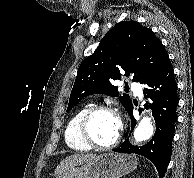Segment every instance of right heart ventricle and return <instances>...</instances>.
Wrapping results in <instances>:
<instances>
[{
  "mask_svg": "<svg viewBox=\"0 0 194 178\" xmlns=\"http://www.w3.org/2000/svg\"><path fill=\"white\" fill-rule=\"evenodd\" d=\"M87 109V107H83L76 111L74 115L70 118L65 129V142L70 149L75 151H87L91 148L81 140L78 134L79 121Z\"/></svg>",
  "mask_w": 194,
  "mask_h": 178,
  "instance_id": "e07e8e85",
  "label": "right heart ventricle"
}]
</instances>
